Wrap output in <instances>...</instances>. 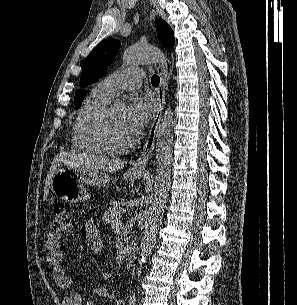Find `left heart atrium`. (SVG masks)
Here are the masks:
<instances>
[{"label": "left heart atrium", "mask_w": 297, "mask_h": 305, "mask_svg": "<svg viewBox=\"0 0 297 305\" xmlns=\"http://www.w3.org/2000/svg\"><path fill=\"white\" fill-rule=\"evenodd\" d=\"M155 106L152 99L135 96L123 113V123L132 138L137 137L150 121Z\"/></svg>", "instance_id": "39dd6f15"}]
</instances>
